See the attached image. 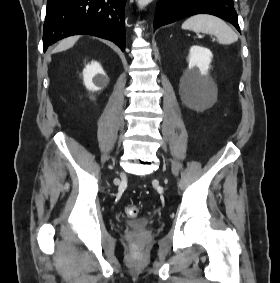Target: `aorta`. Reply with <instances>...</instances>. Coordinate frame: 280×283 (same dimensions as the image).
<instances>
[{
	"label": "aorta",
	"instance_id": "1",
	"mask_svg": "<svg viewBox=\"0 0 280 283\" xmlns=\"http://www.w3.org/2000/svg\"><path fill=\"white\" fill-rule=\"evenodd\" d=\"M153 0H137V4L139 7H144L151 3Z\"/></svg>",
	"mask_w": 280,
	"mask_h": 283
}]
</instances>
